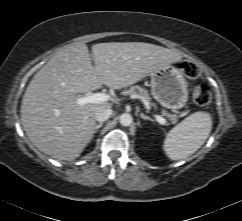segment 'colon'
Here are the masks:
<instances>
[{
    "mask_svg": "<svg viewBox=\"0 0 242 221\" xmlns=\"http://www.w3.org/2000/svg\"><path fill=\"white\" fill-rule=\"evenodd\" d=\"M181 70L185 76L191 79L198 78L200 76L199 67L191 61H185L181 65ZM194 102L199 106H206L211 101V92L208 86L201 85L194 89L192 94Z\"/></svg>",
    "mask_w": 242,
    "mask_h": 221,
    "instance_id": "5ec220e1",
    "label": "colon"
}]
</instances>
